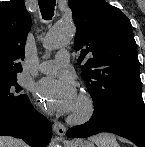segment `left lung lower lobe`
Returning a JSON list of instances; mask_svg holds the SVG:
<instances>
[{
    "label": "left lung lower lobe",
    "mask_w": 145,
    "mask_h": 147,
    "mask_svg": "<svg viewBox=\"0 0 145 147\" xmlns=\"http://www.w3.org/2000/svg\"><path fill=\"white\" fill-rule=\"evenodd\" d=\"M101 132H111L129 139L137 147H145V105L134 98L111 109L104 117L95 113L83 125L68 130L69 138H85Z\"/></svg>",
    "instance_id": "0a47b994"
}]
</instances>
